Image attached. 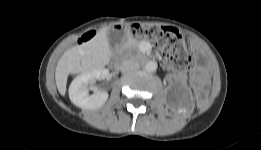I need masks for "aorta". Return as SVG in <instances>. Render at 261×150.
Returning a JSON list of instances; mask_svg holds the SVG:
<instances>
[{"label": "aorta", "instance_id": "obj_1", "mask_svg": "<svg viewBox=\"0 0 261 150\" xmlns=\"http://www.w3.org/2000/svg\"><path fill=\"white\" fill-rule=\"evenodd\" d=\"M145 70L148 72H155L157 70V63L155 61H148L145 65Z\"/></svg>", "mask_w": 261, "mask_h": 150}]
</instances>
